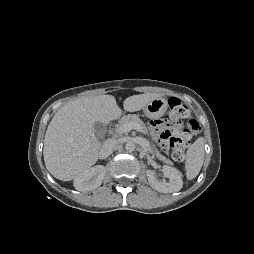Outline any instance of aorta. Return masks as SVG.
<instances>
[{"mask_svg":"<svg viewBox=\"0 0 254 254\" xmlns=\"http://www.w3.org/2000/svg\"><path fill=\"white\" fill-rule=\"evenodd\" d=\"M125 149L127 152H133L135 150V144L133 142H127Z\"/></svg>","mask_w":254,"mask_h":254,"instance_id":"762f6f07","label":"aorta"}]
</instances>
